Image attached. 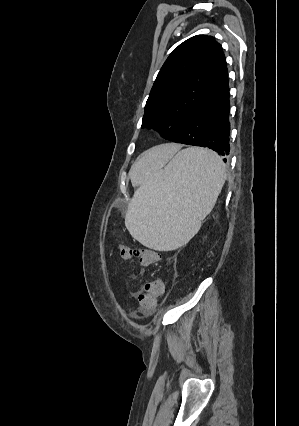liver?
Instances as JSON below:
<instances>
[{"mask_svg":"<svg viewBox=\"0 0 299 426\" xmlns=\"http://www.w3.org/2000/svg\"><path fill=\"white\" fill-rule=\"evenodd\" d=\"M177 151L172 144H162L152 147L142 153L130 170V176L133 181L146 178L156 169L163 166Z\"/></svg>","mask_w":299,"mask_h":426,"instance_id":"obj_1","label":"liver"}]
</instances>
